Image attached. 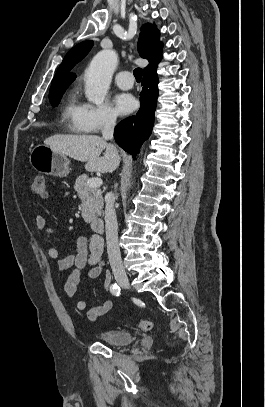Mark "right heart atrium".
I'll list each match as a JSON object with an SVG mask.
<instances>
[{"label": "right heart atrium", "instance_id": "1", "mask_svg": "<svg viewBox=\"0 0 265 407\" xmlns=\"http://www.w3.org/2000/svg\"><path fill=\"white\" fill-rule=\"evenodd\" d=\"M81 106L82 121L89 132L98 133L116 125L117 115L107 104L93 105L84 103Z\"/></svg>", "mask_w": 265, "mask_h": 407}]
</instances>
